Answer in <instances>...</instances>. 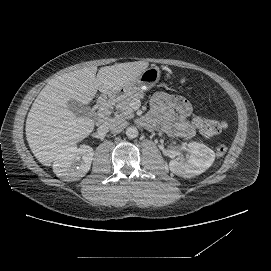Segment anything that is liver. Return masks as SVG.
<instances>
[{"instance_id":"liver-1","label":"liver","mask_w":271,"mask_h":271,"mask_svg":"<svg viewBox=\"0 0 271 271\" xmlns=\"http://www.w3.org/2000/svg\"><path fill=\"white\" fill-rule=\"evenodd\" d=\"M135 61L104 66L84 67L51 79L34 100L26 119V139L37 160L50 166L63 150L82 141L93 131L95 122L77 117L69 102L89 104L97 91L107 94L129 85L147 67ZM97 73V75H96Z\"/></svg>"}]
</instances>
